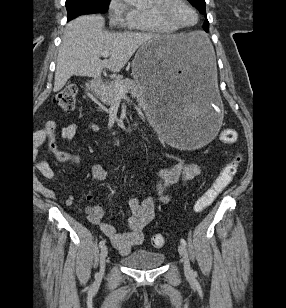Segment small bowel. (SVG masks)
Returning <instances> with one entry per match:
<instances>
[{
    "label": "small bowel",
    "instance_id": "small-bowel-1",
    "mask_svg": "<svg viewBox=\"0 0 286 308\" xmlns=\"http://www.w3.org/2000/svg\"><path fill=\"white\" fill-rule=\"evenodd\" d=\"M56 130V122L48 121L44 128L35 133V143L38 145L44 141H47L49 147L54 150L56 157L60 161L67 163H79V156L57 150ZM77 130V124L70 123L60 130L59 138L65 141H70L75 136ZM89 130L93 134H98L100 132L99 127L94 123L90 124ZM165 155L170 163V166L161 171L157 176L158 196L148 197L142 201H139L136 198L129 199L128 205L132 214L128 219L127 227L124 232L120 233L113 225L102 221L106 216V211L102 205L94 204L83 210L86 213L88 220L92 224L97 225L102 233L109 238L114 248L122 254H126L131 248L142 244L144 229L154 219L156 205L159 202H164L168 199L166 189L169 186L179 182L186 183L200 174V169L197 165L181 162L179 158L171 151H167ZM37 168L45 178L52 179L54 177V173L48 162L43 160L40 161ZM91 172L97 183L105 182L108 178L106 169L100 164L92 165ZM44 193L49 197L53 196L52 191L48 189H45ZM87 199H94V193L92 190L88 192ZM63 203L66 206H72L74 204L73 197H66Z\"/></svg>",
    "mask_w": 286,
    "mask_h": 308
}]
</instances>
